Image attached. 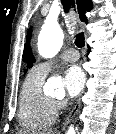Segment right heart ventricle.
<instances>
[{
    "mask_svg": "<svg viewBox=\"0 0 116 134\" xmlns=\"http://www.w3.org/2000/svg\"><path fill=\"white\" fill-rule=\"evenodd\" d=\"M46 74L35 67L28 72L20 92L19 121L27 129L40 130L50 126L56 119L54 101L42 90Z\"/></svg>",
    "mask_w": 116,
    "mask_h": 134,
    "instance_id": "1",
    "label": "right heart ventricle"
}]
</instances>
